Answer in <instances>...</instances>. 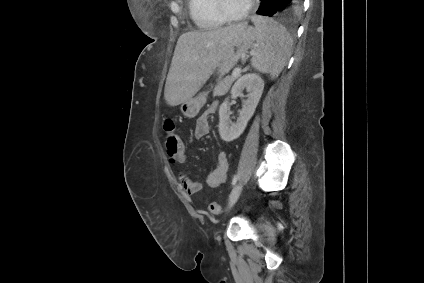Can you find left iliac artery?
<instances>
[{"label": "left iliac artery", "instance_id": "obj_1", "mask_svg": "<svg viewBox=\"0 0 424 283\" xmlns=\"http://www.w3.org/2000/svg\"><path fill=\"white\" fill-rule=\"evenodd\" d=\"M238 176L234 175L233 179H232V185H235L237 182Z\"/></svg>", "mask_w": 424, "mask_h": 283}]
</instances>
